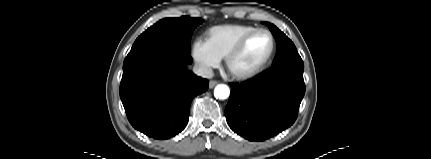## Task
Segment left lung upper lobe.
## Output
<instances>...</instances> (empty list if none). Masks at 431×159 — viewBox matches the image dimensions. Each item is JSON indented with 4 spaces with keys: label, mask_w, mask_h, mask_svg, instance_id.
I'll return each mask as SVG.
<instances>
[{
    "label": "left lung upper lobe",
    "mask_w": 431,
    "mask_h": 159,
    "mask_svg": "<svg viewBox=\"0 0 431 159\" xmlns=\"http://www.w3.org/2000/svg\"><path fill=\"white\" fill-rule=\"evenodd\" d=\"M266 25L269 27L277 42V53L272 66L283 63L303 64L293 42L273 24L266 23Z\"/></svg>",
    "instance_id": "1"
}]
</instances>
